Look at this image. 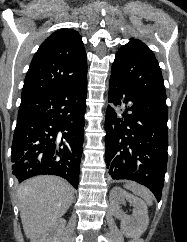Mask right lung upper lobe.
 <instances>
[{
    "label": "right lung upper lobe",
    "instance_id": "right-lung-upper-lobe-1",
    "mask_svg": "<svg viewBox=\"0 0 187 242\" xmlns=\"http://www.w3.org/2000/svg\"><path fill=\"white\" fill-rule=\"evenodd\" d=\"M84 43L79 33L61 29L50 35L33 57L21 101L75 85L86 78Z\"/></svg>",
    "mask_w": 187,
    "mask_h": 242
}]
</instances>
